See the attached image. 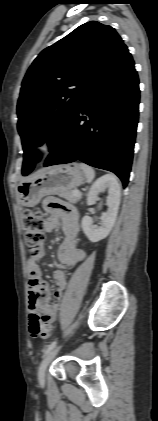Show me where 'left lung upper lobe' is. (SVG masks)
<instances>
[{"label":"left lung upper lobe","mask_w":158,"mask_h":421,"mask_svg":"<svg viewBox=\"0 0 158 421\" xmlns=\"http://www.w3.org/2000/svg\"><path fill=\"white\" fill-rule=\"evenodd\" d=\"M124 45L114 28L97 21L82 24L44 49L28 69L17 105L22 139V173L29 174L47 137L51 147L93 81Z\"/></svg>","instance_id":"obj_1"}]
</instances>
